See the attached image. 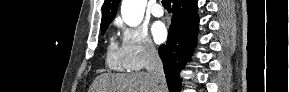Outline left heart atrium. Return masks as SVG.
<instances>
[{"label": "left heart atrium", "mask_w": 289, "mask_h": 92, "mask_svg": "<svg viewBox=\"0 0 289 92\" xmlns=\"http://www.w3.org/2000/svg\"><path fill=\"white\" fill-rule=\"evenodd\" d=\"M156 43H162L167 37V29L162 22H155L151 28Z\"/></svg>", "instance_id": "39dd6f15"}]
</instances>
